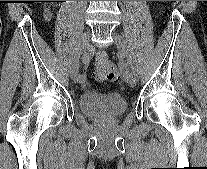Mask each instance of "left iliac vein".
<instances>
[{"instance_id": "left-iliac-vein-1", "label": "left iliac vein", "mask_w": 207, "mask_h": 169, "mask_svg": "<svg viewBox=\"0 0 207 169\" xmlns=\"http://www.w3.org/2000/svg\"><path fill=\"white\" fill-rule=\"evenodd\" d=\"M114 43L119 50L120 55L127 60L128 63H133L134 60L129 52L128 46L124 38L117 32H113ZM137 75L128 74L125 75V81L129 86L134 87L137 84Z\"/></svg>"}]
</instances>
